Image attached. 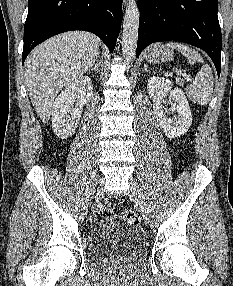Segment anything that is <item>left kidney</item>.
<instances>
[{"label": "left kidney", "instance_id": "1", "mask_svg": "<svg viewBox=\"0 0 233 286\" xmlns=\"http://www.w3.org/2000/svg\"><path fill=\"white\" fill-rule=\"evenodd\" d=\"M147 88L155 118L165 135L172 139L185 134L192 124V115L184 92L179 88L172 89V82L163 77H151ZM167 94L169 101H173L171 110L177 113L173 120L167 117L163 106Z\"/></svg>", "mask_w": 233, "mask_h": 286}]
</instances>
